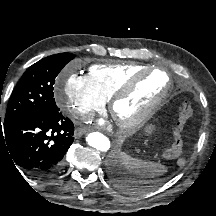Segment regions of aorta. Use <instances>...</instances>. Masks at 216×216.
Segmentation results:
<instances>
[{
	"mask_svg": "<svg viewBox=\"0 0 216 216\" xmlns=\"http://www.w3.org/2000/svg\"><path fill=\"white\" fill-rule=\"evenodd\" d=\"M86 141L88 145L102 152L108 151L111 147L110 140L99 132L89 133L86 137Z\"/></svg>",
	"mask_w": 216,
	"mask_h": 216,
	"instance_id": "1",
	"label": "aorta"
}]
</instances>
